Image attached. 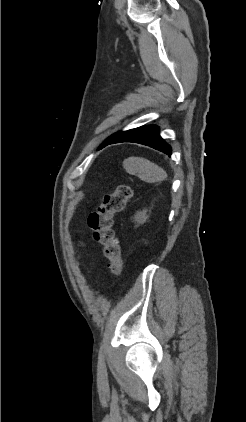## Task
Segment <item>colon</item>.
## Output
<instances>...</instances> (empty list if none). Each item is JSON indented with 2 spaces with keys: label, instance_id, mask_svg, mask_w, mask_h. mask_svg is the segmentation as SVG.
I'll return each instance as SVG.
<instances>
[{
  "label": "colon",
  "instance_id": "obj_1",
  "mask_svg": "<svg viewBox=\"0 0 246 422\" xmlns=\"http://www.w3.org/2000/svg\"><path fill=\"white\" fill-rule=\"evenodd\" d=\"M132 197V189L127 184H120L114 192L106 194L96 211L88 216V226L95 241L103 245L104 253L110 262L113 274L120 276L124 269L121 247L115 237L113 217L120 212Z\"/></svg>",
  "mask_w": 246,
  "mask_h": 422
}]
</instances>
